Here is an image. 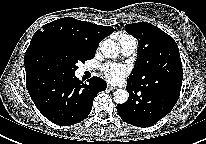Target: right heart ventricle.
Instances as JSON below:
<instances>
[{
    "label": "right heart ventricle",
    "mask_w": 206,
    "mask_h": 144,
    "mask_svg": "<svg viewBox=\"0 0 206 144\" xmlns=\"http://www.w3.org/2000/svg\"><path fill=\"white\" fill-rule=\"evenodd\" d=\"M125 36H127V35H122V36L120 37V39L123 38V37H125Z\"/></svg>",
    "instance_id": "1"
}]
</instances>
